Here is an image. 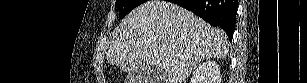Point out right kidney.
<instances>
[{
  "mask_svg": "<svg viewBox=\"0 0 307 83\" xmlns=\"http://www.w3.org/2000/svg\"><path fill=\"white\" fill-rule=\"evenodd\" d=\"M191 83H221L220 69L215 61L203 62L192 74Z\"/></svg>",
  "mask_w": 307,
  "mask_h": 83,
  "instance_id": "obj_1",
  "label": "right kidney"
}]
</instances>
